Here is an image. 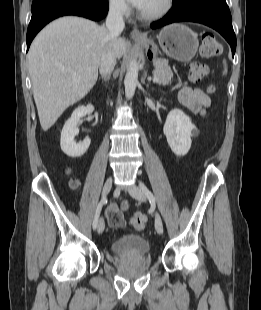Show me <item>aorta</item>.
Masks as SVG:
<instances>
[{"mask_svg":"<svg viewBox=\"0 0 261 310\" xmlns=\"http://www.w3.org/2000/svg\"><path fill=\"white\" fill-rule=\"evenodd\" d=\"M139 66L136 60L130 62L126 76L124 79L125 96L127 99H132L138 84Z\"/></svg>","mask_w":261,"mask_h":310,"instance_id":"aorta-1","label":"aorta"}]
</instances>
